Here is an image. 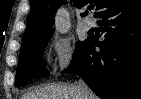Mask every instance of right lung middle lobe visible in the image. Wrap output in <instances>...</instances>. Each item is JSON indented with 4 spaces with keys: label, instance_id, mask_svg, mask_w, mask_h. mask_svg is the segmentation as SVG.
<instances>
[{
    "label": "right lung middle lobe",
    "instance_id": "1",
    "mask_svg": "<svg viewBox=\"0 0 141 99\" xmlns=\"http://www.w3.org/2000/svg\"><path fill=\"white\" fill-rule=\"evenodd\" d=\"M51 35L49 34L41 39L22 45L15 78L16 86H22L32 78L48 75L42 62V54ZM86 41L77 43L75 56Z\"/></svg>",
    "mask_w": 141,
    "mask_h": 99
}]
</instances>
